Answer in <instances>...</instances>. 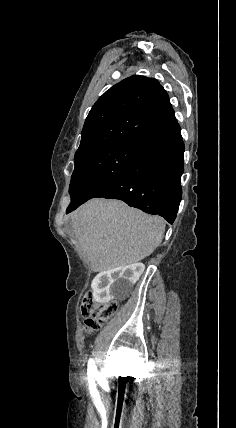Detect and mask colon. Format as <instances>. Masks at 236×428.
<instances>
[{"instance_id": "colon-1", "label": "colon", "mask_w": 236, "mask_h": 428, "mask_svg": "<svg viewBox=\"0 0 236 428\" xmlns=\"http://www.w3.org/2000/svg\"><path fill=\"white\" fill-rule=\"evenodd\" d=\"M118 302L98 303L91 291L83 297L81 312L85 317V327L89 332L99 330L117 311Z\"/></svg>"}]
</instances>
